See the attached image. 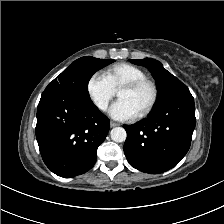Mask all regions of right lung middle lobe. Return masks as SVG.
<instances>
[{
  "label": "right lung middle lobe",
  "mask_w": 224,
  "mask_h": 224,
  "mask_svg": "<svg viewBox=\"0 0 224 224\" xmlns=\"http://www.w3.org/2000/svg\"><path fill=\"white\" fill-rule=\"evenodd\" d=\"M114 61L113 59H97L90 56L79 58L55 78L46 89L67 91L90 99L88 93L90 78L96 71Z\"/></svg>",
  "instance_id": "obj_1"
}]
</instances>
